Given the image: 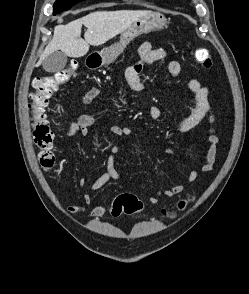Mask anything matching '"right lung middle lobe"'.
<instances>
[{"label": "right lung middle lobe", "mask_w": 249, "mask_h": 294, "mask_svg": "<svg viewBox=\"0 0 249 294\" xmlns=\"http://www.w3.org/2000/svg\"><path fill=\"white\" fill-rule=\"evenodd\" d=\"M78 1L82 0H56L54 3V13H60L62 11L70 9Z\"/></svg>", "instance_id": "dd1d6c3e"}]
</instances>
